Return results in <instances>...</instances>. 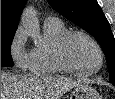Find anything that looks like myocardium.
Listing matches in <instances>:
<instances>
[{
  "label": "myocardium",
  "instance_id": "f54148a6",
  "mask_svg": "<svg viewBox=\"0 0 115 99\" xmlns=\"http://www.w3.org/2000/svg\"><path fill=\"white\" fill-rule=\"evenodd\" d=\"M76 36H82V37L86 38L95 46V48L98 52V55H99V64L94 70L82 71V70L76 68L70 62V60L67 56V46H68V43L70 42V40ZM56 59L59 62V64L66 71L71 72L76 75H79V76H84V77L97 74L104 66V60H105L104 52H103V49H102L101 45L99 44V42L92 35H90L89 33L85 32V31H81V30L68 31L65 35H63L61 37V39L59 40L57 47H56Z\"/></svg>",
  "mask_w": 115,
  "mask_h": 99
}]
</instances>
